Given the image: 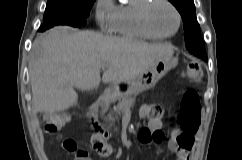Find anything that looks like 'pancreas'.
Instances as JSON below:
<instances>
[{
  "label": "pancreas",
  "instance_id": "pancreas-1",
  "mask_svg": "<svg viewBox=\"0 0 242 160\" xmlns=\"http://www.w3.org/2000/svg\"><path fill=\"white\" fill-rule=\"evenodd\" d=\"M114 99H117L115 96L113 97ZM119 102H118V106H117V114L123 113L124 111L130 109L134 103H135V97H122V98H118ZM104 112L107 111V108H104L103 110ZM108 119L111 122L115 121V118L112 117L111 114L108 115Z\"/></svg>",
  "mask_w": 242,
  "mask_h": 160
}]
</instances>
